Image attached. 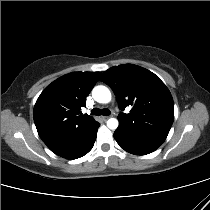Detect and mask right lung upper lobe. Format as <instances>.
<instances>
[{
	"instance_id": "right-lung-upper-lobe-1",
	"label": "right lung upper lobe",
	"mask_w": 210,
	"mask_h": 210,
	"mask_svg": "<svg viewBox=\"0 0 210 210\" xmlns=\"http://www.w3.org/2000/svg\"><path fill=\"white\" fill-rule=\"evenodd\" d=\"M99 76V72L64 75L48 85L37 99L34 122L40 138L55 154L88 136L99 124L89 115H79Z\"/></svg>"
}]
</instances>
